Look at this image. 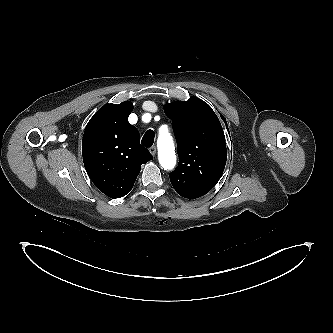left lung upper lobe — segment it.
Returning <instances> with one entry per match:
<instances>
[{"label": "left lung upper lobe", "instance_id": "obj_1", "mask_svg": "<svg viewBox=\"0 0 333 333\" xmlns=\"http://www.w3.org/2000/svg\"><path fill=\"white\" fill-rule=\"evenodd\" d=\"M164 110L173 120L179 156L170 181L180 196L201 197L214 187L225 168L227 149L221 123L212 108L196 97L165 104Z\"/></svg>", "mask_w": 333, "mask_h": 333}]
</instances>
